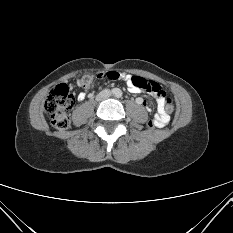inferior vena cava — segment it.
Returning a JSON list of instances; mask_svg holds the SVG:
<instances>
[{
	"mask_svg": "<svg viewBox=\"0 0 233 233\" xmlns=\"http://www.w3.org/2000/svg\"><path fill=\"white\" fill-rule=\"evenodd\" d=\"M111 95V92L109 90H103L102 92H100L97 96L98 100H104L109 98Z\"/></svg>",
	"mask_w": 233,
	"mask_h": 233,
	"instance_id": "inferior-vena-cava-1",
	"label": "inferior vena cava"
}]
</instances>
